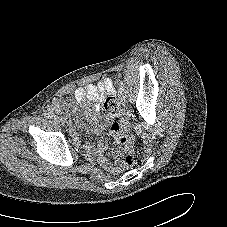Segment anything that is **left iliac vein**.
<instances>
[{
  "instance_id": "left-iliac-vein-1",
  "label": "left iliac vein",
  "mask_w": 227,
  "mask_h": 227,
  "mask_svg": "<svg viewBox=\"0 0 227 227\" xmlns=\"http://www.w3.org/2000/svg\"><path fill=\"white\" fill-rule=\"evenodd\" d=\"M120 100H121V103L123 104V106H126L128 104V101L126 100L125 96L121 95Z\"/></svg>"
}]
</instances>
